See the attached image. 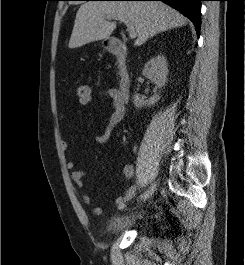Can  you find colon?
<instances>
[{
    "instance_id": "1",
    "label": "colon",
    "mask_w": 245,
    "mask_h": 265,
    "mask_svg": "<svg viewBox=\"0 0 245 265\" xmlns=\"http://www.w3.org/2000/svg\"><path fill=\"white\" fill-rule=\"evenodd\" d=\"M75 96L82 106H87L92 100L91 88L88 85H78L74 89Z\"/></svg>"
}]
</instances>
